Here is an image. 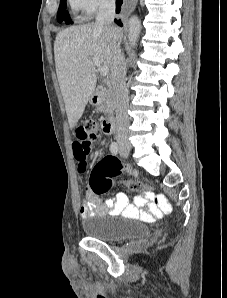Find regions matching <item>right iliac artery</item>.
I'll list each match as a JSON object with an SVG mask.
<instances>
[{
  "label": "right iliac artery",
  "instance_id": "82829eb1",
  "mask_svg": "<svg viewBox=\"0 0 227 298\" xmlns=\"http://www.w3.org/2000/svg\"><path fill=\"white\" fill-rule=\"evenodd\" d=\"M110 151L113 155H117L118 151H119V147L118 144L116 142H112L110 145Z\"/></svg>",
  "mask_w": 227,
  "mask_h": 298
}]
</instances>
